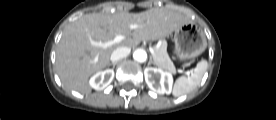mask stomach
<instances>
[{
    "label": "stomach",
    "instance_id": "obj_1",
    "mask_svg": "<svg viewBox=\"0 0 276 120\" xmlns=\"http://www.w3.org/2000/svg\"><path fill=\"white\" fill-rule=\"evenodd\" d=\"M175 54L181 61L195 58L203 53L207 46L205 33L193 22L175 30Z\"/></svg>",
    "mask_w": 276,
    "mask_h": 120
}]
</instances>
